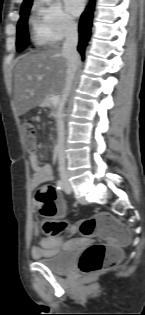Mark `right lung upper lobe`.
<instances>
[{
	"label": "right lung upper lobe",
	"instance_id": "right-lung-upper-lobe-1",
	"mask_svg": "<svg viewBox=\"0 0 145 315\" xmlns=\"http://www.w3.org/2000/svg\"><path fill=\"white\" fill-rule=\"evenodd\" d=\"M32 4V0H24L22 7Z\"/></svg>",
	"mask_w": 145,
	"mask_h": 315
}]
</instances>
